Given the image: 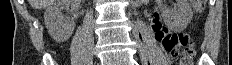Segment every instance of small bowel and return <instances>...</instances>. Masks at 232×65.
Here are the masks:
<instances>
[{"instance_id":"c3829d8e","label":"small bowel","mask_w":232,"mask_h":65,"mask_svg":"<svg viewBox=\"0 0 232 65\" xmlns=\"http://www.w3.org/2000/svg\"><path fill=\"white\" fill-rule=\"evenodd\" d=\"M150 27L154 32L155 39L160 44H162L163 37L169 32L166 28H164L161 24L160 17L157 13L153 14L150 18Z\"/></svg>"}]
</instances>
